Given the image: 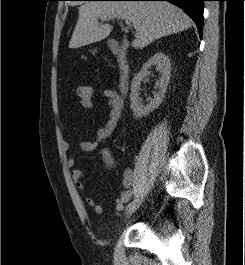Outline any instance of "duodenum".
Returning a JSON list of instances; mask_svg holds the SVG:
<instances>
[{
    "label": "duodenum",
    "mask_w": 245,
    "mask_h": 265,
    "mask_svg": "<svg viewBox=\"0 0 245 265\" xmlns=\"http://www.w3.org/2000/svg\"><path fill=\"white\" fill-rule=\"evenodd\" d=\"M110 50L117 61L119 87L122 92H126L130 77V66L126 47L118 41H112Z\"/></svg>",
    "instance_id": "duodenum-1"
}]
</instances>
